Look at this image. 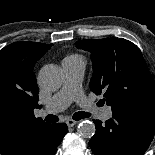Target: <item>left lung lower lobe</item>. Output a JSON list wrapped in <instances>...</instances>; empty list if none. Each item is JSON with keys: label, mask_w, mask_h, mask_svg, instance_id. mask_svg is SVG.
I'll use <instances>...</instances> for the list:
<instances>
[{"label": "left lung lower lobe", "mask_w": 155, "mask_h": 155, "mask_svg": "<svg viewBox=\"0 0 155 155\" xmlns=\"http://www.w3.org/2000/svg\"><path fill=\"white\" fill-rule=\"evenodd\" d=\"M93 121L96 133L89 146L95 155H143L155 134V111H125L103 124Z\"/></svg>", "instance_id": "1"}]
</instances>
